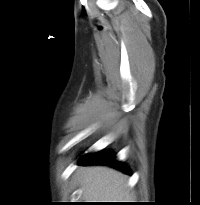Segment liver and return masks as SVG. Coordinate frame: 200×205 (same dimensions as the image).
<instances>
[{"label": "liver", "mask_w": 200, "mask_h": 205, "mask_svg": "<svg viewBox=\"0 0 200 205\" xmlns=\"http://www.w3.org/2000/svg\"><path fill=\"white\" fill-rule=\"evenodd\" d=\"M83 188L84 200H102L98 202H121L128 200L127 178L119 171L105 166L79 168L76 172Z\"/></svg>", "instance_id": "obj_1"}]
</instances>
